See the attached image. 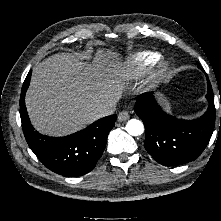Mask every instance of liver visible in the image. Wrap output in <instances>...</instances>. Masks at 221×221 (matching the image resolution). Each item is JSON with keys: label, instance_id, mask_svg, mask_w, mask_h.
<instances>
[{"label": "liver", "instance_id": "6515ba94", "mask_svg": "<svg viewBox=\"0 0 221 221\" xmlns=\"http://www.w3.org/2000/svg\"><path fill=\"white\" fill-rule=\"evenodd\" d=\"M104 54L87 66L69 53L54 54L33 69L26 106L34 127L43 134L61 136L96 120L92 113L110 102L117 103L124 90L121 65L107 68Z\"/></svg>", "mask_w": 221, "mask_h": 221}]
</instances>
